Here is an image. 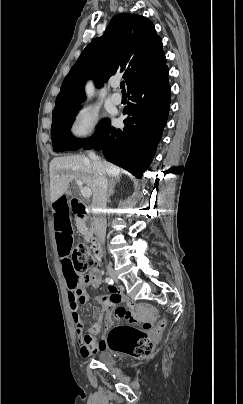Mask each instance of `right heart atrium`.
Listing matches in <instances>:
<instances>
[{
	"label": "right heart atrium",
	"instance_id": "d8ad5b80",
	"mask_svg": "<svg viewBox=\"0 0 243 404\" xmlns=\"http://www.w3.org/2000/svg\"><path fill=\"white\" fill-rule=\"evenodd\" d=\"M100 113L91 105L77 107L68 122L67 136L75 144L93 142L99 133Z\"/></svg>",
	"mask_w": 243,
	"mask_h": 404
}]
</instances>
